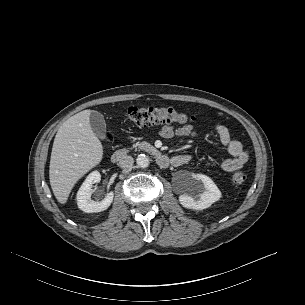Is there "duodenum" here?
<instances>
[{"label": "duodenum", "instance_id": "1", "mask_svg": "<svg viewBox=\"0 0 305 305\" xmlns=\"http://www.w3.org/2000/svg\"><path fill=\"white\" fill-rule=\"evenodd\" d=\"M148 151L154 157L156 163L160 167L166 168L170 165L171 160L169 159V157L161 153L159 150L155 148H150ZM127 154H128V150L118 149L112 153L111 160L112 162L117 163L120 160H122Z\"/></svg>", "mask_w": 305, "mask_h": 305}]
</instances>
